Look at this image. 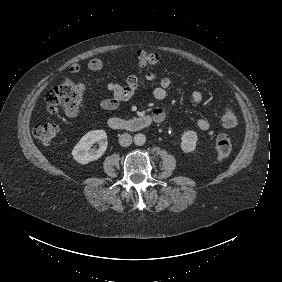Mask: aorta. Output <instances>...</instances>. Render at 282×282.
<instances>
[{
  "label": "aorta",
  "instance_id": "obj_1",
  "mask_svg": "<svg viewBox=\"0 0 282 282\" xmlns=\"http://www.w3.org/2000/svg\"><path fill=\"white\" fill-rule=\"evenodd\" d=\"M133 141L136 146H142L146 142V137L144 134L137 133L134 135Z\"/></svg>",
  "mask_w": 282,
  "mask_h": 282
}]
</instances>
